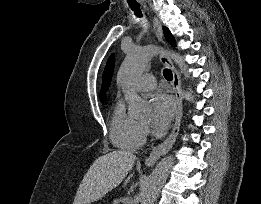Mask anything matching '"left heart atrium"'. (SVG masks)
<instances>
[{
    "mask_svg": "<svg viewBox=\"0 0 261 204\" xmlns=\"http://www.w3.org/2000/svg\"><path fill=\"white\" fill-rule=\"evenodd\" d=\"M174 113L175 104L170 96L159 93L153 97L151 121L157 130H166L173 119Z\"/></svg>",
    "mask_w": 261,
    "mask_h": 204,
    "instance_id": "obj_1",
    "label": "left heart atrium"
}]
</instances>
